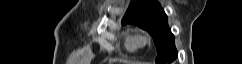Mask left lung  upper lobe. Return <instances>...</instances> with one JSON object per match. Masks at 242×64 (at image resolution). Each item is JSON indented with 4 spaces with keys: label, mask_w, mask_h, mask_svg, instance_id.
<instances>
[{
    "label": "left lung upper lobe",
    "mask_w": 242,
    "mask_h": 64,
    "mask_svg": "<svg viewBox=\"0 0 242 64\" xmlns=\"http://www.w3.org/2000/svg\"><path fill=\"white\" fill-rule=\"evenodd\" d=\"M135 24L147 30L157 48V64L172 62L177 57L174 35L168 26L167 16L156 0H132L122 24Z\"/></svg>",
    "instance_id": "1"
}]
</instances>
